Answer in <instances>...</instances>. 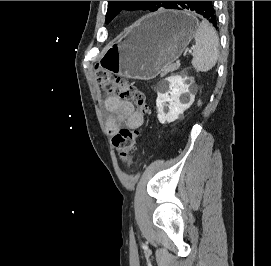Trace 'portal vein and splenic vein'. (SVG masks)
Returning a JSON list of instances; mask_svg holds the SVG:
<instances>
[{
    "instance_id": "portal-vein-and-splenic-vein-1",
    "label": "portal vein and splenic vein",
    "mask_w": 271,
    "mask_h": 266,
    "mask_svg": "<svg viewBox=\"0 0 271 266\" xmlns=\"http://www.w3.org/2000/svg\"><path fill=\"white\" fill-rule=\"evenodd\" d=\"M193 49H194V47H191V48L188 50V52H189V53H192V50H193ZM177 64L180 65V61H177Z\"/></svg>"
}]
</instances>
